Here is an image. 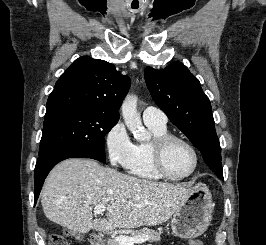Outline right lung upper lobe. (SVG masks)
Returning <instances> with one entry per match:
<instances>
[{
	"label": "right lung upper lobe",
	"instance_id": "1",
	"mask_svg": "<svg viewBox=\"0 0 266 245\" xmlns=\"http://www.w3.org/2000/svg\"><path fill=\"white\" fill-rule=\"evenodd\" d=\"M130 87V78L113 64L88 56L78 58L59 78L48 97L45 117L72 109L117 112Z\"/></svg>",
	"mask_w": 266,
	"mask_h": 245
}]
</instances>
